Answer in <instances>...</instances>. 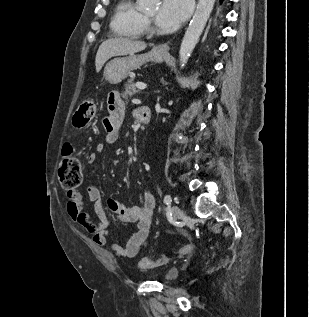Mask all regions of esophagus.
<instances>
[{
  "mask_svg": "<svg viewBox=\"0 0 309 317\" xmlns=\"http://www.w3.org/2000/svg\"><path fill=\"white\" fill-rule=\"evenodd\" d=\"M169 48H170L169 43H164V44L158 45L157 50L167 53L169 51Z\"/></svg>",
  "mask_w": 309,
  "mask_h": 317,
  "instance_id": "obj_1",
  "label": "esophagus"
}]
</instances>
